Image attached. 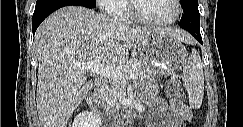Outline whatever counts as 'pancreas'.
I'll return each mask as SVG.
<instances>
[{
  "instance_id": "obj_1",
  "label": "pancreas",
  "mask_w": 243,
  "mask_h": 127,
  "mask_svg": "<svg viewBox=\"0 0 243 127\" xmlns=\"http://www.w3.org/2000/svg\"><path fill=\"white\" fill-rule=\"evenodd\" d=\"M131 69L137 70V78L141 80H149L153 78L152 72L142 64L141 61L131 60L125 67L124 72L127 73ZM126 96V82L124 80H111L109 85L103 90L101 100L108 109H114L119 102Z\"/></svg>"
}]
</instances>
